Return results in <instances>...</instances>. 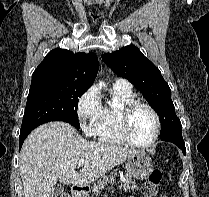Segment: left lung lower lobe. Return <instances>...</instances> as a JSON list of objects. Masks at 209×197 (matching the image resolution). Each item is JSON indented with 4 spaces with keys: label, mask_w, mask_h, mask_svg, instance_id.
Masks as SVG:
<instances>
[{
    "label": "left lung lower lobe",
    "mask_w": 209,
    "mask_h": 197,
    "mask_svg": "<svg viewBox=\"0 0 209 197\" xmlns=\"http://www.w3.org/2000/svg\"><path fill=\"white\" fill-rule=\"evenodd\" d=\"M161 140L174 143L182 150L184 154H186L185 142L183 140L182 135L169 136L162 138Z\"/></svg>",
    "instance_id": "0a47b994"
}]
</instances>
